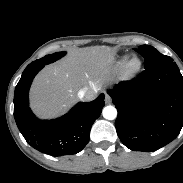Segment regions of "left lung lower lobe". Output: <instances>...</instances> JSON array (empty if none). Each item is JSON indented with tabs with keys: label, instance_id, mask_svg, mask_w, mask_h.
<instances>
[{
	"label": "left lung lower lobe",
	"instance_id": "left-lung-lower-lobe-1",
	"mask_svg": "<svg viewBox=\"0 0 183 183\" xmlns=\"http://www.w3.org/2000/svg\"><path fill=\"white\" fill-rule=\"evenodd\" d=\"M108 93L118 110L117 134L127 148L153 152L179 135L183 126V76L175 62L145 69Z\"/></svg>",
	"mask_w": 183,
	"mask_h": 183
}]
</instances>
